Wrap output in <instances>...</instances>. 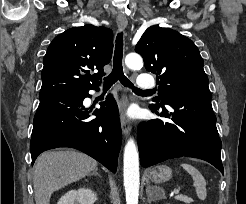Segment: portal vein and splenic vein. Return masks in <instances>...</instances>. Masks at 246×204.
<instances>
[{"mask_svg": "<svg viewBox=\"0 0 246 204\" xmlns=\"http://www.w3.org/2000/svg\"><path fill=\"white\" fill-rule=\"evenodd\" d=\"M179 192H180L179 189H175V190H174V193H175L176 195L179 194Z\"/></svg>", "mask_w": 246, "mask_h": 204, "instance_id": "1", "label": "portal vein and splenic vein"}]
</instances>
